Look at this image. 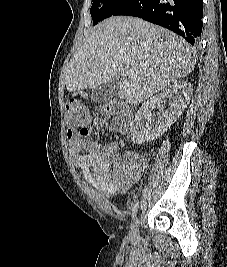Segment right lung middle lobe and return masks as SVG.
<instances>
[{"instance_id":"1","label":"right lung middle lobe","mask_w":227,"mask_h":267,"mask_svg":"<svg viewBox=\"0 0 227 267\" xmlns=\"http://www.w3.org/2000/svg\"><path fill=\"white\" fill-rule=\"evenodd\" d=\"M129 0H93L90 13L93 24L112 16L121 9Z\"/></svg>"}]
</instances>
